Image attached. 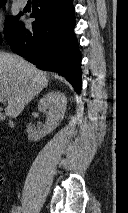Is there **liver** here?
Wrapping results in <instances>:
<instances>
[{
    "label": "liver",
    "instance_id": "obj_1",
    "mask_svg": "<svg viewBox=\"0 0 128 213\" xmlns=\"http://www.w3.org/2000/svg\"><path fill=\"white\" fill-rule=\"evenodd\" d=\"M46 73L17 55L0 51V96L8 104L5 114L17 117L26 104L47 87Z\"/></svg>",
    "mask_w": 128,
    "mask_h": 213
}]
</instances>
